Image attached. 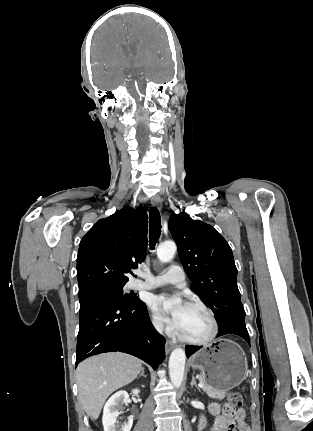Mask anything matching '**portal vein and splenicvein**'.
<instances>
[{
    "mask_svg": "<svg viewBox=\"0 0 313 431\" xmlns=\"http://www.w3.org/2000/svg\"><path fill=\"white\" fill-rule=\"evenodd\" d=\"M198 386H199L200 388H203V387H204V384H203L202 382H200V383L198 384Z\"/></svg>",
    "mask_w": 313,
    "mask_h": 431,
    "instance_id": "obj_1",
    "label": "portal vein and splenic vein"
}]
</instances>
